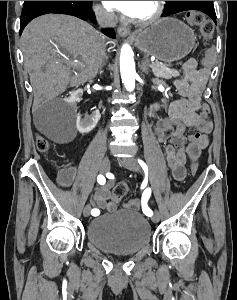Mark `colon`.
<instances>
[{
  "mask_svg": "<svg viewBox=\"0 0 237 300\" xmlns=\"http://www.w3.org/2000/svg\"><path fill=\"white\" fill-rule=\"evenodd\" d=\"M187 22L195 27H198L202 33V36L205 40H210L214 34V25L208 20L205 15L196 10L188 11L186 13ZM215 60V52L213 50H209L205 57L203 58L204 66H210L213 64ZM36 146L39 151L46 152L50 149L49 141L42 135H38L36 139ZM198 170V162L197 159L192 160L190 171L192 175H195ZM127 184L125 182H121L118 184L113 191V199L116 201L121 200L127 194Z\"/></svg>",
  "mask_w": 237,
  "mask_h": 300,
  "instance_id": "colon-1",
  "label": "colon"
}]
</instances>
